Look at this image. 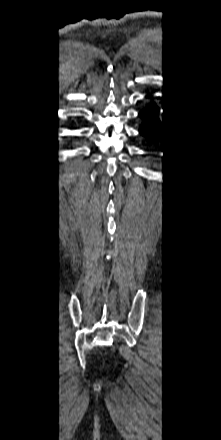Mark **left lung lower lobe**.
<instances>
[{"label": "left lung lower lobe", "instance_id": "left-lung-lower-lobe-1", "mask_svg": "<svg viewBox=\"0 0 221 440\" xmlns=\"http://www.w3.org/2000/svg\"><path fill=\"white\" fill-rule=\"evenodd\" d=\"M139 116L145 120V124L140 128V133L144 136L160 134V121L158 119V108L150 106L139 113Z\"/></svg>", "mask_w": 221, "mask_h": 440}]
</instances>
